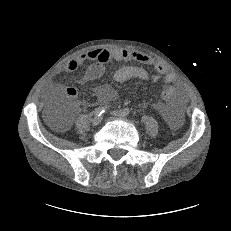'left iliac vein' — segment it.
Returning <instances> with one entry per match:
<instances>
[{
	"label": "left iliac vein",
	"mask_w": 231,
	"mask_h": 231,
	"mask_svg": "<svg viewBox=\"0 0 231 231\" xmlns=\"http://www.w3.org/2000/svg\"><path fill=\"white\" fill-rule=\"evenodd\" d=\"M112 115L118 119H121V120H124V115L121 111H118V110H114L112 111Z\"/></svg>",
	"instance_id": "1"
}]
</instances>
